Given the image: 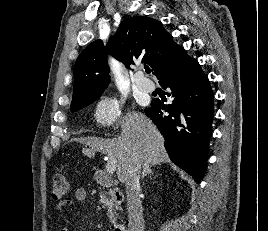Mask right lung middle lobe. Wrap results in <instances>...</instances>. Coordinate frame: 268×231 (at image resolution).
Instances as JSON below:
<instances>
[{
	"mask_svg": "<svg viewBox=\"0 0 268 231\" xmlns=\"http://www.w3.org/2000/svg\"><path fill=\"white\" fill-rule=\"evenodd\" d=\"M96 99H98V98L90 99V100H86V101H81V102H78L74 105H71V110L78 111V110L82 109L83 107H86L87 105L93 103Z\"/></svg>",
	"mask_w": 268,
	"mask_h": 231,
	"instance_id": "1",
	"label": "right lung middle lobe"
}]
</instances>
